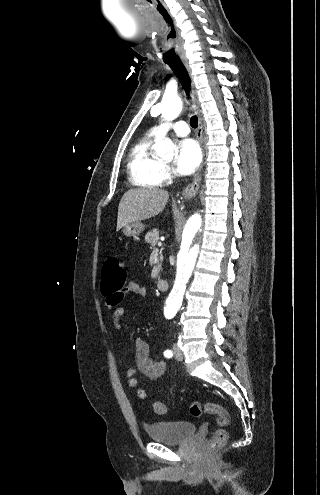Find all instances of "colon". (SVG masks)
I'll return each mask as SVG.
<instances>
[{
	"label": "colon",
	"instance_id": "5ec220e1",
	"mask_svg": "<svg viewBox=\"0 0 320 495\" xmlns=\"http://www.w3.org/2000/svg\"><path fill=\"white\" fill-rule=\"evenodd\" d=\"M127 270L123 262L116 256L109 257L102 268L101 289L104 294L121 291L125 285ZM146 397V395H145ZM153 409L156 414L162 415L166 412L165 404L155 402ZM189 413L193 417H200L203 414L214 415L218 429L215 431L208 443V450L213 452L223 446L227 440L225 427L230 422L228 412L219 404L208 401H194L189 406Z\"/></svg>",
	"mask_w": 320,
	"mask_h": 495
}]
</instances>
